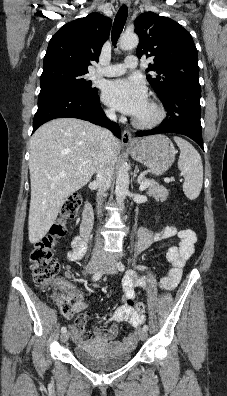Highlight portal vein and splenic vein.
<instances>
[{"label": "portal vein and splenic vein", "instance_id": "1", "mask_svg": "<svg viewBox=\"0 0 227 396\" xmlns=\"http://www.w3.org/2000/svg\"><path fill=\"white\" fill-rule=\"evenodd\" d=\"M149 184H150V182H143V183H141V185H140V191H143V190H145L148 186H149Z\"/></svg>", "mask_w": 227, "mask_h": 396}]
</instances>
